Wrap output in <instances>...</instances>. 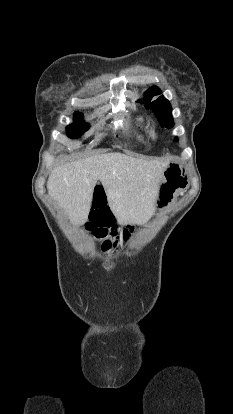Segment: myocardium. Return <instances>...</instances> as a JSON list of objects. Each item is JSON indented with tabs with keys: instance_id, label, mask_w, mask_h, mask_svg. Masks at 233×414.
<instances>
[{
	"instance_id": "obj_1",
	"label": "myocardium",
	"mask_w": 233,
	"mask_h": 414,
	"mask_svg": "<svg viewBox=\"0 0 233 414\" xmlns=\"http://www.w3.org/2000/svg\"><path fill=\"white\" fill-rule=\"evenodd\" d=\"M151 133H152V135H154V131H152Z\"/></svg>"
}]
</instances>
